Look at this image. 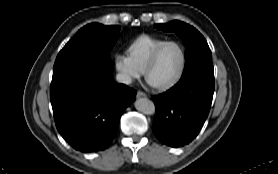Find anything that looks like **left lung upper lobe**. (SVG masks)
Instances as JSON below:
<instances>
[{"label":"left lung upper lobe","instance_id":"5c2ea615","mask_svg":"<svg viewBox=\"0 0 278 174\" xmlns=\"http://www.w3.org/2000/svg\"><path fill=\"white\" fill-rule=\"evenodd\" d=\"M155 28L165 32H175L186 47V63L180 81L197 76L214 78L210 48L203 35L197 29L181 21L156 24Z\"/></svg>","mask_w":278,"mask_h":174}]
</instances>
